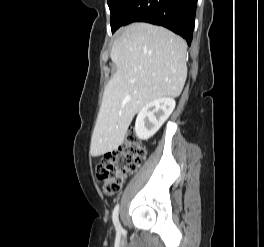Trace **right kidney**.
Masks as SVG:
<instances>
[{
    "mask_svg": "<svg viewBox=\"0 0 264 247\" xmlns=\"http://www.w3.org/2000/svg\"><path fill=\"white\" fill-rule=\"evenodd\" d=\"M173 98L164 97L147 103L138 113L135 132L139 139L148 140L168 119L175 108Z\"/></svg>",
    "mask_w": 264,
    "mask_h": 247,
    "instance_id": "right-kidney-1",
    "label": "right kidney"
}]
</instances>
